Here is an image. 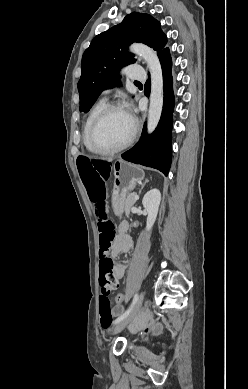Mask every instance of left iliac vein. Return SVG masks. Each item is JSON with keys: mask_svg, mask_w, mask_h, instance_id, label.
I'll use <instances>...</instances> for the list:
<instances>
[{"mask_svg": "<svg viewBox=\"0 0 248 389\" xmlns=\"http://www.w3.org/2000/svg\"><path fill=\"white\" fill-rule=\"evenodd\" d=\"M143 300H144V292L142 291L140 293L139 298H138L137 302L135 303L133 309L129 313V315L126 318H124L121 322H119L115 326V328L113 329V335H115V334L119 333L121 330H123L134 319V317L137 315V313L139 312V310L142 307Z\"/></svg>", "mask_w": 248, "mask_h": 389, "instance_id": "left-iliac-vein-1", "label": "left iliac vein"}]
</instances>
